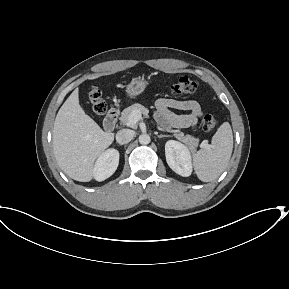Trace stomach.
<instances>
[{
	"label": "stomach",
	"instance_id": "stomach-1",
	"mask_svg": "<svg viewBox=\"0 0 289 289\" xmlns=\"http://www.w3.org/2000/svg\"><path fill=\"white\" fill-rule=\"evenodd\" d=\"M149 84V81L144 78H134L126 86V94L129 98L134 99L138 95L144 92L145 88Z\"/></svg>",
	"mask_w": 289,
	"mask_h": 289
}]
</instances>
